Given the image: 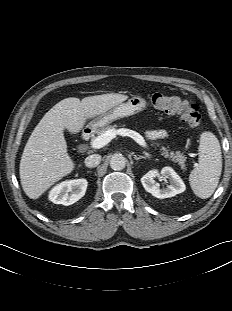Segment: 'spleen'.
<instances>
[{
    "label": "spleen",
    "instance_id": "obj_1",
    "mask_svg": "<svg viewBox=\"0 0 232 311\" xmlns=\"http://www.w3.org/2000/svg\"><path fill=\"white\" fill-rule=\"evenodd\" d=\"M221 171L220 143L213 133L203 132L199 143V163L189 175L194 194L202 199L209 198L219 183Z\"/></svg>",
    "mask_w": 232,
    "mask_h": 311
}]
</instances>
